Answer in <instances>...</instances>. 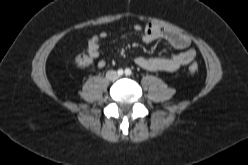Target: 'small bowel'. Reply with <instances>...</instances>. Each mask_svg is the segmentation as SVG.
<instances>
[{
    "mask_svg": "<svg viewBox=\"0 0 248 165\" xmlns=\"http://www.w3.org/2000/svg\"><path fill=\"white\" fill-rule=\"evenodd\" d=\"M135 32L142 31V40L146 43L161 40L167 42L179 52L171 57H144L137 56L134 62L142 69L153 72L175 73L184 66L189 65L195 58V50L191 48L188 36L176 31L164 28L156 24H148L142 27L139 24L133 26ZM107 31H101L93 35L87 42L86 52L90 58L97 59L101 55L100 43L108 37ZM107 64L105 59H99L96 63L98 68H104Z\"/></svg>",
    "mask_w": 248,
    "mask_h": 165,
    "instance_id": "obj_1",
    "label": "small bowel"
}]
</instances>
